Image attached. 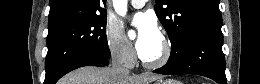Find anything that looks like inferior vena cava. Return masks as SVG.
Returning <instances> with one entry per match:
<instances>
[{
  "instance_id": "1",
  "label": "inferior vena cava",
  "mask_w": 260,
  "mask_h": 84,
  "mask_svg": "<svg viewBox=\"0 0 260 84\" xmlns=\"http://www.w3.org/2000/svg\"><path fill=\"white\" fill-rule=\"evenodd\" d=\"M112 69L119 75H128L129 70L124 67L118 58H114L112 61Z\"/></svg>"
}]
</instances>
